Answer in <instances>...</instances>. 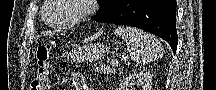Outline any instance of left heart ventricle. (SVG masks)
Returning <instances> with one entry per match:
<instances>
[{"label":"left heart ventricle","instance_id":"left-heart-ventricle-1","mask_svg":"<svg viewBox=\"0 0 216 90\" xmlns=\"http://www.w3.org/2000/svg\"><path fill=\"white\" fill-rule=\"evenodd\" d=\"M59 6H62V10H57V13H54V15L49 18L53 23L69 22L74 18L79 10L78 7L72 4H62Z\"/></svg>","mask_w":216,"mask_h":90}]
</instances>
